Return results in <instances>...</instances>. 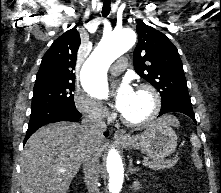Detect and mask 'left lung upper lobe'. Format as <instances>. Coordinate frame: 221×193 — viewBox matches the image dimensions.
<instances>
[{
  "mask_svg": "<svg viewBox=\"0 0 221 193\" xmlns=\"http://www.w3.org/2000/svg\"><path fill=\"white\" fill-rule=\"evenodd\" d=\"M139 36L133 53L136 72L160 93L162 105L189 97L187 83L177 48L160 31L138 20Z\"/></svg>",
  "mask_w": 221,
  "mask_h": 193,
  "instance_id": "left-lung-upper-lobe-1",
  "label": "left lung upper lobe"
}]
</instances>
